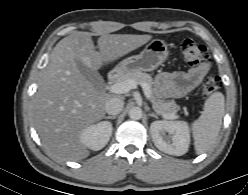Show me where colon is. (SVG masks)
Here are the masks:
<instances>
[{"mask_svg": "<svg viewBox=\"0 0 248 195\" xmlns=\"http://www.w3.org/2000/svg\"><path fill=\"white\" fill-rule=\"evenodd\" d=\"M183 59L188 66H198L211 60L209 49L191 39H185L181 43ZM221 86V79L218 76L207 77L202 85V96L204 98L216 92Z\"/></svg>", "mask_w": 248, "mask_h": 195, "instance_id": "1", "label": "colon"}]
</instances>
